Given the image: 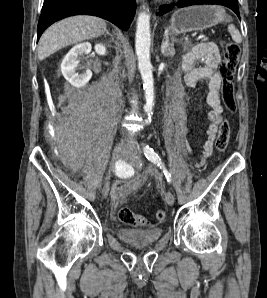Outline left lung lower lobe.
Masks as SVG:
<instances>
[{
	"mask_svg": "<svg viewBox=\"0 0 267 298\" xmlns=\"http://www.w3.org/2000/svg\"><path fill=\"white\" fill-rule=\"evenodd\" d=\"M197 4H218L223 5L231 10H233L237 16L240 18L239 14V8L237 0H178L177 5L179 8L191 6V5H197ZM171 5H163L160 7L159 12L157 13L159 16L167 13L169 10H171Z\"/></svg>",
	"mask_w": 267,
	"mask_h": 298,
	"instance_id": "obj_1",
	"label": "left lung lower lobe"
}]
</instances>
